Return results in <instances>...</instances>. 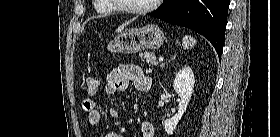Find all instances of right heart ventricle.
<instances>
[{
  "instance_id": "1",
  "label": "right heart ventricle",
  "mask_w": 280,
  "mask_h": 137,
  "mask_svg": "<svg viewBox=\"0 0 280 137\" xmlns=\"http://www.w3.org/2000/svg\"><path fill=\"white\" fill-rule=\"evenodd\" d=\"M94 11L101 17L114 13L113 8L108 4V0H95Z\"/></svg>"
}]
</instances>
